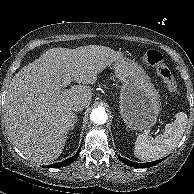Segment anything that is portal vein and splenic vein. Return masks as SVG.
<instances>
[{
    "label": "portal vein and splenic vein",
    "mask_w": 194,
    "mask_h": 194,
    "mask_svg": "<svg viewBox=\"0 0 194 194\" xmlns=\"http://www.w3.org/2000/svg\"><path fill=\"white\" fill-rule=\"evenodd\" d=\"M70 83V77L65 78V80L62 83V89L66 87ZM159 131V129H158Z\"/></svg>",
    "instance_id": "18ae733b"
}]
</instances>
